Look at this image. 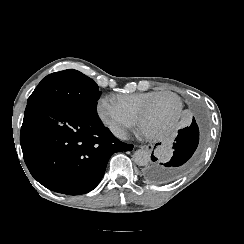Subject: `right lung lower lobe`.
<instances>
[{
  "label": "right lung lower lobe",
  "mask_w": 244,
  "mask_h": 244,
  "mask_svg": "<svg viewBox=\"0 0 244 244\" xmlns=\"http://www.w3.org/2000/svg\"><path fill=\"white\" fill-rule=\"evenodd\" d=\"M20 143L32 176L68 195L93 190L112 154L133 148L114 137L98 115L52 103L27 104Z\"/></svg>",
  "instance_id": "1"
}]
</instances>
